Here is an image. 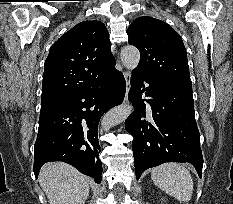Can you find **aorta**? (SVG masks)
Wrapping results in <instances>:
<instances>
[{
    "mask_svg": "<svg viewBox=\"0 0 233 204\" xmlns=\"http://www.w3.org/2000/svg\"><path fill=\"white\" fill-rule=\"evenodd\" d=\"M122 64L129 70H133L137 67L140 60V53L138 49L134 46H125L121 50L120 54ZM133 111L131 105H120L111 109L103 117L102 127L105 131L121 122H123Z\"/></svg>",
    "mask_w": 233,
    "mask_h": 204,
    "instance_id": "obj_1",
    "label": "aorta"
}]
</instances>
